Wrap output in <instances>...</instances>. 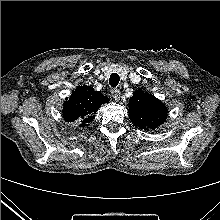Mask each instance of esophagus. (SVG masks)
I'll return each mask as SVG.
<instances>
[{"instance_id":"esophagus-1","label":"esophagus","mask_w":220,"mask_h":220,"mask_svg":"<svg viewBox=\"0 0 220 220\" xmlns=\"http://www.w3.org/2000/svg\"><path fill=\"white\" fill-rule=\"evenodd\" d=\"M111 95L115 100L120 99V91L118 89H112L111 90Z\"/></svg>"}]
</instances>
